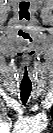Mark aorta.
I'll use <instances>...</instances> for the list:
<instances>
[{
  "label": "aorta",
  "mask_w": 53,
  "mask_h": 133,
  "mask_svg": "<svg viewBox=\"0 0 53 133\" xmlns=\"http://www.w3.org/2000/svg\"><path fill=\"white\" fill-rule=\"evenodd\" d=\"M47 120L43 117H34L27 119L20 124V127L24 133H37L45 128Z\"/></svg>",
  "instance_id": "1"
}]
</instances>
